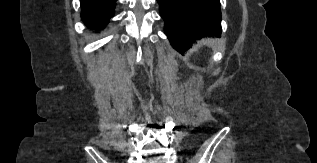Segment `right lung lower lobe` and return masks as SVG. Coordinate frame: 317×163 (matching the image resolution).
Returning <instances> with one entry per match:
<instances>
[{"label":"right lung lower lobe","instance_id":"98d812e1","mask_svg":"<svg viewBox=\"0 0 317 163\" xmlns=\"http://www.w3.org/2000/svg\"><path fill=\"white\" fill-rule=\"evenodd\" d=\"M84 23L92 29L103 28L114 15L116 0H80Z\"/></svg>","mask_w":317,"mask_h":163}]
</instances>
